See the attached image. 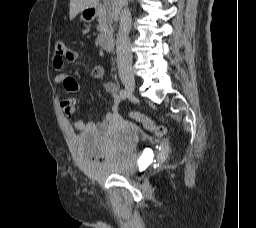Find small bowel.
<instances>
[{"instance_id":"c3829d8e","label":"small bowel","mask_w":256,"mask_h":228,"mask_svg":"<svg viewBox=\"0 0 256 228\" xmlns=\"http://www.w3.org/2000/svg\"><path fill=\"white\" fill-rule=\"evenodd\" d=\"M80 55L73 49L69 48L66 58L60 61L54 56L53 67L57 71L55 82L62 84L66 91L75 93L79 90V85L74 77L64 71V62L74 63L79 61ZM104 74L100 66H94L91 71V76L94 79L102 78ZM104 90L113 98L114 104L110 112L99 122H85L82 119H76L73 126L76 130L88 133H102L106 131L116 130L125 124L120 113V98L117 93V86L113 82H108L104 86ZM62 109L67 115H72L76 109V100L73 97L65 98L61 103Z\"/></svg>"}]
</instances>
